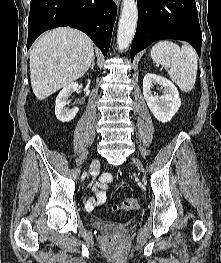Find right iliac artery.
<instances>
[{"label":"right iliac artery","mask_w":221,"mask_h":263,"mask_svg":"<svg viewBox=\"0 0 221 263\" xmlns=\"http://www.w3.org/2000/svg\"><path fill=\"white\" fill-rule=\"evenodd\" d=\"M85 176H86V174H84V175L82 176V179H84V178H85Z\"/></svg>","instance_id":"82829eb1"}]
</instances>
